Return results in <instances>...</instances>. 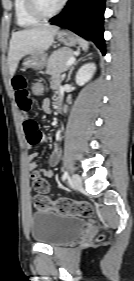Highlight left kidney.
Here are the masks:
<instances>
[{"instance_id": "left-kidney-1", "label": "left kidney", "mask_w": 134, "mask_h": 281, "mask_svg": "<svg viewBox=\"0 0 134 281\" xmlns=\"http://www.w3.org/2000/svg\"><path fill=\"white\" fill-rule=\"evenodd\" d=\"M96 66L94 63H87L81 66V68L76 73V83L79 86L87 83L94 75Z\"/></svg>"}]
</instances>
